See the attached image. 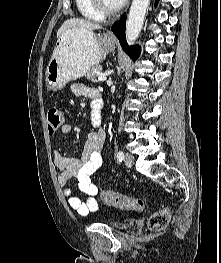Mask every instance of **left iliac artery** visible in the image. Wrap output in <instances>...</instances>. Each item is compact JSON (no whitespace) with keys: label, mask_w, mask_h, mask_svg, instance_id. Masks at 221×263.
<instances>
[{"label":"left iliac artery","mask_w":221,"mask_h":263,"mask_svg":"<svg viewBox=\"0 0 221 263\" xmlns=\"http://www.w3.org/2000/svg\"><path fill=\"white\" fill-rule=\"evenodd\" d=\"M117 159L122 162V160L124 159V153L122 151H119L117 153Z\"/></svg>","instance_id":"left-iliac-artery-1"}]
</instances>
